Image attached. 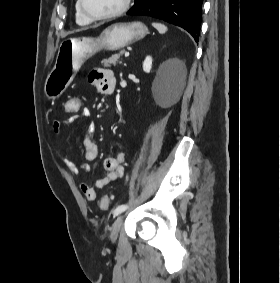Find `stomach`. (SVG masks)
I'll use <instances>...</instances> for the list:
<instances>
[{
  "label": "stomach",
  "mask_w": 280,
  "mask_h": 283,
  "mask_svg": "<svg viewBox=\"0 0 280 283\" xmlns=\"http://www.w3.org/2000/svg\"><path fill=\"white\" fill-rule=\"evenodd\" d=\"M147 33V27L135 21L112 24L98 37L64 39L59 45L55 65L45 81L46 97L54 100L62 95L82 64L96 53L101 50L117 51L144 38Z\"/></svg>",
  "instance_id": "stomach-1"
}]
</instances>
